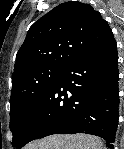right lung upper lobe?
<instances>
[{"label":"right lung upper lobe","mask_w":124,"mask_h":149,"mask_svg":"<svg viewBox=\"0 0 124 149\" xmlns=\"http://www.w3.org/2000/svg\"><path fill=\"white\" fill-rule=\"evenodd\" d=\"M113 39L101 14L90 4L65 2L37 20L16 55L12 85L24 74L52 66L64 68Z\"/></svg>","instance_id":"1"}]
</instances>
